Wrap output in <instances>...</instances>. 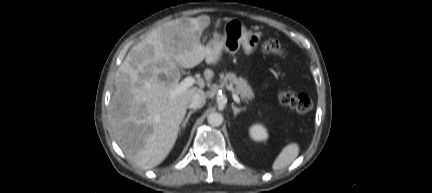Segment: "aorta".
I'll use <instances>...</instances> for the list:
<instances>
[{
    "label": "aorta",
    "mask_w": 432,
    "mask_h": 193,
    "mask_svg": "<svg viewBox=\"0 0 432 193\" xmlns=\"http://www.w3.org/2000/svg\"><path fill=\"white\" fill-rule=\"evenodd\" d=\"M207 122L211 126H220L223 123V116L219 112H211L207 117Z\"/></svg>",
    "instance_id": "762f6f07"
}]
</instances>
